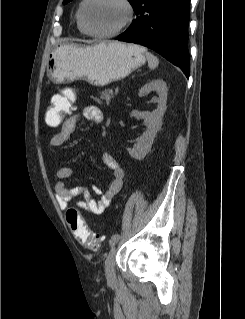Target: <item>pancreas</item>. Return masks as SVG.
<instances>
[{
  "label": "pancreas",
  "instance_id": "pancreas-1",
  "mask_svg": "<svg viewBox=\"0 0 245 319\" xmlns=\"http://www.w3.org/2000/svg\"><path fill=\"white\" fill-rule=\"evenodd\" d=\"M101 99L106 100L107 103H110L111 99L114 97L113 92L111 89H105L104 91L100 92Z\"/></svg>",
  "mask_w": 245,
  "mask_h": 319
}]
</instances>
